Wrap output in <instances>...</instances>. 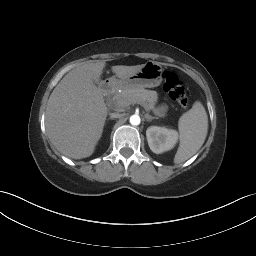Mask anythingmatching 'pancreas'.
Masks as SVG:
<instances>
[{"label":"pancreas","mask_w":256,"mask_h":256,"mask_svg":"<svg viewBox=\"0 0 256 256\" xmlns=\"http://www.w3.org/2000/svg\"><path fill=\"white\" fill-rule=\"evenodd\" d=\"M157 101V92L144 88H126L114 94V103L119 108H127L138 103L143 104L148 110H152Z\"/></svg>","instance_id":"1"}]
</instances>
